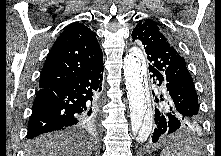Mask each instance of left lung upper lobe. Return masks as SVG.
<instances>
[{
	"label": "left lung upper lobe",
	"instance_id": "left-lung-upper-lobe-1",
	"mask_svg": "<svg viewBox=\"0 0 221 156\" xmlns=\"http://www.w3.org/2000/svg\"><path fill=\"white\" fill-rule=\"evenodd\" d=\"M132 38L144 45L149 70H157L165 77L166 90L177 108L199 119L198 96L192 77L171 38L151 19L140 20Z\"/></svg>",
	"mask_w": 221,
	"mask_h": 156
}]
</instances>
